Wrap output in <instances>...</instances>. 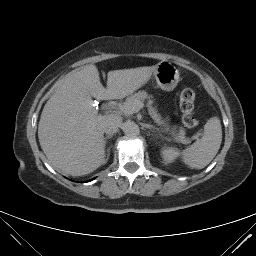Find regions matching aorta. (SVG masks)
<instances>
[{"label":"aorta","instance_id":"obj_1","mask_svg":"<svg viewBox=\"0 0 256 256\" xmlns=\"http://www.w3.org/2000/svg\"><path fill=\"white\" fill-rule=\"evenodd\" d=\"M121 129L125 135L133 137L139 134L138 125L133 121H126L121 125Z\"/></svg>","mask_w":256,"mask_h":256}]
</instances>
